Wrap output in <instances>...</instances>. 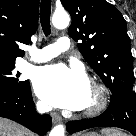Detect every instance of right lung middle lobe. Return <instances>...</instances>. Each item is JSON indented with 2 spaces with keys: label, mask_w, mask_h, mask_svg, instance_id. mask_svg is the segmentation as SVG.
<instances>
[{
  "label": "right lung middle lobe",
  "mask_w": 136,
  "mask_h": 136,
  "mask_svg": "<svg viewBox=\"0 0 136 136\" xmlns=\"http://www.w3.org/2000/svg\"><path fill=\"white\" fill-rule=\"evenodd\" d=\"M15 62L0 64V94H13L21 91L28 80L20 81L19 72L14 71Z\"/></svg>",
  "instance_id": "right-lung-middle-lobe-1"
}]
</instances>
